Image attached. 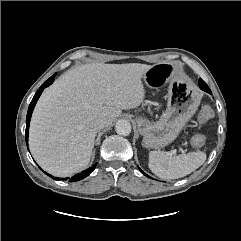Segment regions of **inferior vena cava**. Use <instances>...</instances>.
I'll list each match as a JSON object with an SVG mask.
<instances>
[{"mask_svg":"<svg viewBox=\"0 0 241 241\" xmlns=\"http://www.w3.org/2000/svg\"><path fill=\"white\" fill-rule=\"evenodd\" d=\"M106 119L105 118H98L93 122V128L96 131H100L102 128H104L106 126Z\"/></svg>","mask_w":241,"mask_h":241,"instance_id":"inferior-vena-cava-1","label":"inferior vena cava"}]
</instances>
